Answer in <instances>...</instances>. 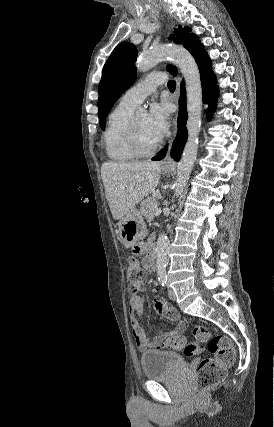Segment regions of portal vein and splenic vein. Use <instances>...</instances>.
Masks as SVG:
<instances>
[{
  "mask_svg": "<svg viewBox=\"0 0 274 427\" xmlns=\"http://www.w3.org/2000/svg\"><path fill=\"white\" fill-rule=\"evenodd\" d=\"M160 214H162L161 208H156L154 215H160Z\"/></svg>",
  "mask_w": 274,
  "mask_h": 427,
  "instance_id": "18ae733b",
  "label": "portal vein and splenic vein"
}]
</instances>
